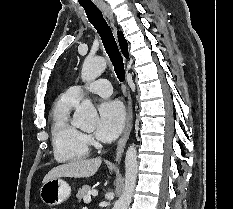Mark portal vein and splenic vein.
<instances>
[{"instance_id": "obj_1", "label": "portal vein and splenic vein", "mask_w": 233, "mask_h": 209, "mask_svg": "<svg viewBox=\"0 0 233 209\" xmlns=\"http://www.w3.org/2000/svg\"><path fill=\"white\" fill-rule=\"evenodd\" d=\"M83 201H84V203L89 204L91 202V197L86 196V197H84Z\"/></svg>"}]
</instances>
